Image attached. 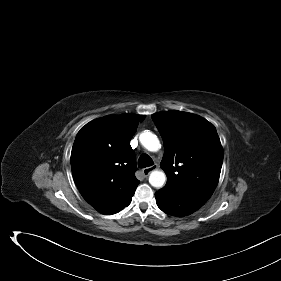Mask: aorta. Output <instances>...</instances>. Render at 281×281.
I'll use <instances>...</instances> for the list:
<instances>
[{"label": "aorta", "mask_w": 281, "mask_h": 281, "mask_svg": "<svg viewBox=\"0 0 281 281\" xmlns=\"http://www.w3.org/2000/svg\"><path fill=\"white\" fill-rule=\"evenodd\" d=\"M139 140L141 144L151 152H156L160 148V141L152 132L141 133ZM166 181V175L163 171L154 170L149 176V183L156 188H161Z\"/></svg>", "instance_id": "obj_1"}]
</instances>
